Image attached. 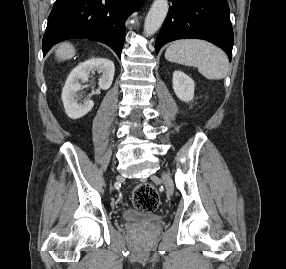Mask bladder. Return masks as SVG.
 <instances>
[{"instance_id":"31cf9c89","label":"bladder","mask_w":286,"mask_h":269,"mask_svg":"<svg viewBox=\"0 0 286 269\" xmlns=\"http://www.w3.org/2000/svg\"><path fill=\"white\" fill-rule=\"evenodd\" d=\"M121 218L126 223H151L158 221L160 216L129 207L122 212Z\"/></svg>"}]
</instances>
